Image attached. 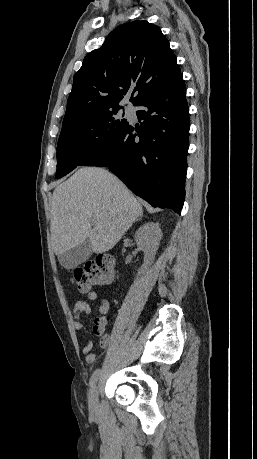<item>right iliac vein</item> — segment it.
Here are the masks:
<instances>
[{
  "mask_svg": "<svg viewBox=\"0 0 257 459\" xmlns=\"http://www.w3.org/2000/svg\"><path fill=\"white\" fill-rule=\"evenodd\" d=\"M97 401H98V391H97V386L93 385L89 391L88 395V403L89 407L91 410H95L97 407Z\"/></svg>",
  "mask_w": 257,
  "mask_h": 459,
  "instance_id": "63e3f726",
  "label": "right iliac vein"
}]
</instances>
